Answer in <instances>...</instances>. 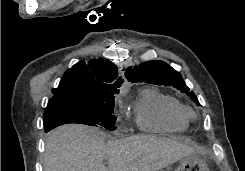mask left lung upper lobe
Masks as SVG:
<instances>
[{
	"label": "left lung upper lobe",
	"instance_id": "left-lung-upper-lobe-1",
	"mask_svg": "<svg viewBox=\"0 0 245 171\" xmlns=\"http://www.w3.org/2000/svg\"><path fill=\"white\" fill-rule=\"evenodd\" d=\"M128 81L145 82L148 84H157L172 86L181 92L186 93L197 105L198 99L193 92H189L182 76L172 67L162 61H148L128 69L126 72Z\"/></svg>",
	"mask_w": 245,
	"mask_h": 171
}]
</instances>
